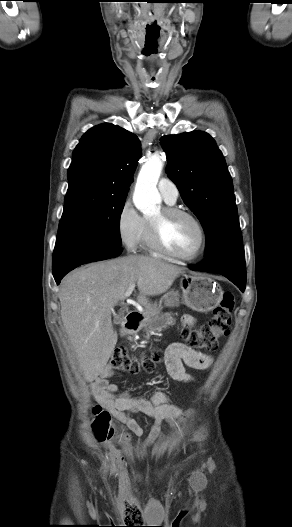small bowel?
Instances as JSON below:
<instances>
[{
	"label": "small bowel",
	"instance_id": "1",
	"mask_svg": "<svg viewBox=\"0 0 292 527\" xmlns=\"http://www.w3.org/2000/svg\"><path fill=\"white\" fill-rule=\"evenodd\" d=\"M195 323L196 320L192 316L185 315L183 317V324L193 326ZM212 362L213 358L209 354L196 351L179 342L170 344L165 354V364L170 377L180 382L193 380L185 366L205 370L211 366ZM112 376V368L107 367L96 380V389L104 393L100 397V401L117 420L138 437L143 435V429L135 419L130 417V414L143 413L154 420L148 436L141 441L143 447H149L164 437L161 432L163 422H167L171 428H175L178 422L185 421L188 412H184L180 407L172 404L164 392L157 391L149 397L132 396L128 392L118 393V385L108 382Z\"/></svg>",
	"mask_w": 292,
	"mask_h": 527
}]
</instances>
